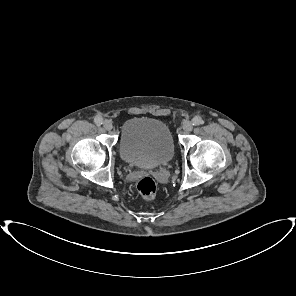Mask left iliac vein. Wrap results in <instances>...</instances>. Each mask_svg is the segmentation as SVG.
<instances>
[{"label":"left iliac vein","mask_w":296,"mask_h":296,"mask_svg":"<svg viewBox=\"0 0 296 296\" xmlns=\"http://www.w3.org/2000/svg\"><path fill=\"white\" fill-rule=\"evenodd\" d=\"M192 129H193V123L191 121H188L183 125V130L185 132H190Z\"/></svg>","instance_id":"4c4485c4"}]
</instances>
